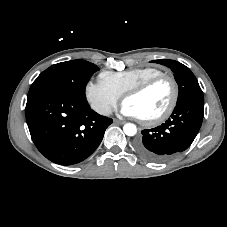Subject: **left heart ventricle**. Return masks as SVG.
<instances>
[{"label": "left heart ventricle", "mask_w": 227, "mask_h": 227, "mask_svg": "<svg viewBox=\"0 0 227 227\" xmlns=\"http://www.w3.org/2000/svg\"><path fill=\"white\" fill-rule=\"evenodd\" d=\"M172 97V86L162 80L144 93L127 98L124 102L132 106L139 118L148 119L159 115L168 106Z\"/></svg>", "instance_id": "1"}]
</instances>
